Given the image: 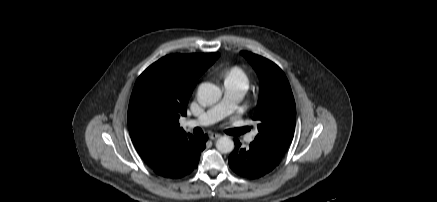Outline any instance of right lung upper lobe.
Instances as JSON below:
<instances>
[{
  "label": "right lung upper lobe",
  "mask_w": 437,
  "mask_h": 202,
  "mask_svg": "<svg viewBox=\"0 0 437 202\" xmlns=\"http://www.w3.org/2000/svg\"><path fill=\"white\" fill-rule=\"evenodd\" d=\"M219 53L172 54L150 65L137 79L128 107V128L143 160L154 167L176 150L191 134L179 125L199 77ZM154 72L162 73L156 93L144 102L140 90Z\"/></svg>",
  "instance_id": "cb5924a9"
}]
</instances>
